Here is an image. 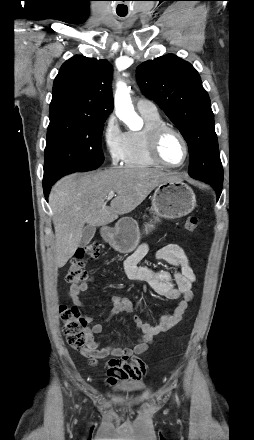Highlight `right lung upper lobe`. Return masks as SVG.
<instances>
[{"mask_svg": "<svg viewBox=\"0 0 254 440\" xmlns=\"http://www.w3.org/2000/svg\"><path fill=\"white\" fill-rule=\"evenodd\" d=\"M111 79L110 62L73 56L61 66L54 80L50 114L70 111L107 118L113 110Z\"/></svg>", "mask_w": 254, "mask_h": 440, "instance_id": "cb5924a9", "label": "right lung upper lobe"}]
</instances>
